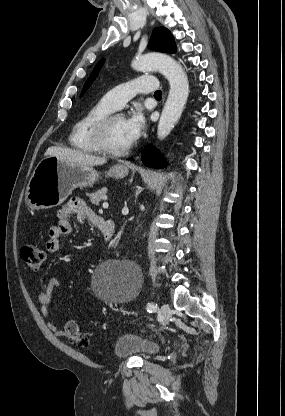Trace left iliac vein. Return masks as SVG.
<instances>
[{"label": "left iliac vein", "instance_id": "4c4485c4", "mask_svg": "<svg viewBox=\"0 0 285 416\" xmlns=\"http://www.w3.org/2000/svg\"><path fill=\"white\" fill-rule=\"evenodd\" d=\"M161 311L164 323H168L171 315L170 307L166 303H163L161 305Z\"/></svg>", "mask_w": 285, "mask_h": 416}]
</instances>
